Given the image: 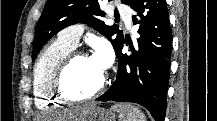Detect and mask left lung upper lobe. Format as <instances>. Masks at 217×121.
<instances>
[{
    "label": "left lung upper lobe",
    "mask_w": 217,
    "mask_h": 121,
    "mask_svg": "<svg viewBox=\"0 0 217 121\" xmlns=\"http://www.w3.org/2000/svg\"><path fill=\"white\" fill-rule=\"evenodd\" d=\"M121 1L129 5L132 0ZM101 2L102 0H47L35 30L33 60L52 36L76 23H89V26L97 29L111 41L116 51L123 41V31H120L117 25L109 26L100 20L105 16L99 8Z\"/></svg>",
    "instance_id": "left-lung-upper-lobe-1"
}]
</instances>
